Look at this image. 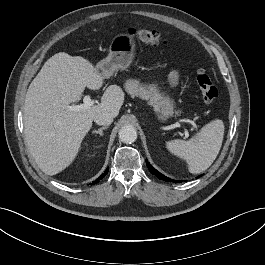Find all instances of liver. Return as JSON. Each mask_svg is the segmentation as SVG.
Returning a JSON list of instances; mask_svg holds the SVG:
<instances>
[{
  "label": "liver",
  "mask_w": 265,
  "mask_h": 265,
  "mask_svg": "<svg viewBox=\"0 0 265 265\" xmlns=\"http://www.w3.org/2000/svg\"><path fill=\"white\" fill-rule=\"evenodd\" d=\"M104 79L87 59L60 52L45 62L31 82L24 105V133L44 173L58 174L74 161L95 115L119 114L124 94L116 85L109 86L96 105L80 111L67 109L81 99L86 87L100 89Z\"/></svg>",
  "instance_id": "1"
}]
</instances>
